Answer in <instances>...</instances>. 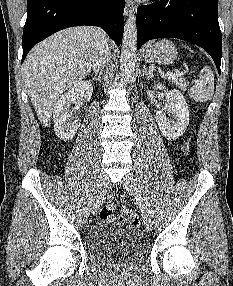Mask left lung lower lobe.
Here are the masks:
<instances>
[{"label": "left lung lower lobe", "mask_w": 233, "mask_h": 286, "mask_svg": "<svg viewBox=\"0 0 233 286\" xmlns=\"http://www.w3.org/2000/svg\"><path fill=\"white\" fill-rule=\"evenodd\" d=\"M154 38H178L204 48L220 74L218 0H156L137 9V48Z\"/></svg>", "instance_id": "left-lung-lower-lobe-1"}]
</instances>
